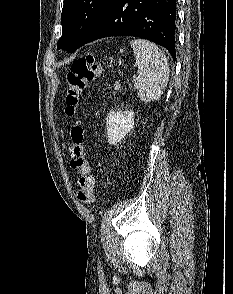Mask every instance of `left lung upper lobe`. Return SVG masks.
<instances>
[{
	"label": "left lung upper lobe",
	"mask_w": 233,
	"mask_h": 294,
	"mask_svg": "<svg viewBox=\"0 0 233 294\" xmlns=\"http://www.w3.org/2000/svg\"><path fill=\"white\" fill-rule=\"evenodd\" d=\"M111 0H64L62 36L57 49L74 52L84 45Z\"/></svg>",
	"instance_id": "1"
}]
</instances>
